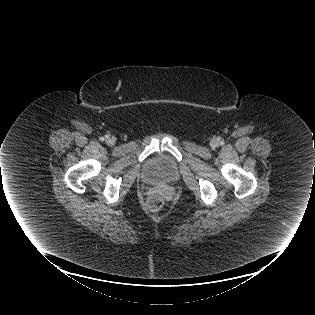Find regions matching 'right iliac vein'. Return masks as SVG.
<instances>
[{
	"label": "right iliac vein",
	"instance_id": "obj_1",
	"mask_svg": "<svg viewBox=\"0 0 315 315\" xmlns=\"http://www.w3.org/2000/svg\"><path fill=\"white\" fill-rule=\"evenodd\" d=\"M107 143H108L109 145H113V144L115 143V141H114L113 139H108V140H107Z\"/></svg>",
	"mask_w": 315,
	"mask_h": 315
}]
</instances>
